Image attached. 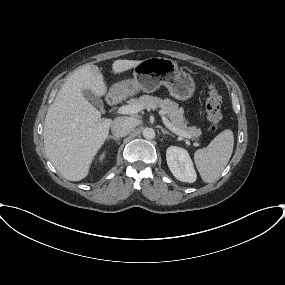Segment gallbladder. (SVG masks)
<instances>
[{
	"mask_svg": "<svg viewBox=\"0 0 285 285\" xmlns=\"http://www.w3.org/2000/svg\"><path fill=\"white\" fill-rule=\"evenodd\" d=\"M82 93L89 101H91L96 107H98L100 111H103V102L98 96H96L90 90H83Z\"/></svg>",
	"mask_w": 285,
	"mask_h": 285,
	"instance_id": "obj_1",
	"label": "gallbladder"
}]
</instances>
